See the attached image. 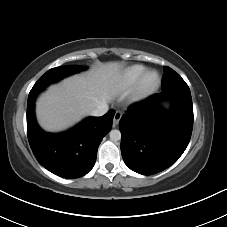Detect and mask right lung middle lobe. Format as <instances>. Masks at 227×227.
<instances>
[{
  "mask_svg": "<svg viewBox=\"0 0 227 227\" xmlns=\"http://www.w3.org/2000/svg\"><path fill=\"white\" fill-rule=\"evenodd\" d=\"M85 68L86 67L74 66V65L52 68L39 78V80L35 83V85L31 89L29 95H32L34 93H39L49 84L56 82L65 76L84 70Z\"/></svg>",
  "mask_w": 227,
  "mask_h": 227,
  "instance_id": "right-lung-middle-lobe-1",
  "label": "right lung middle lobe"
}]
</instances>
